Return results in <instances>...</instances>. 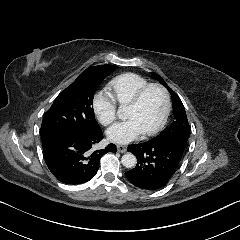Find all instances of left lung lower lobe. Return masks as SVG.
<instances>
[{"instance_id": "0a47b994", "label": "left lung lower lobe", "mask_w": 240, "mask_h": 240, "mask_svg": "<svg viewBox=\"0 0 240 240\" xmlns=\"http://www.w3.org/2000/svg\"><path fill=\"white\" fill-rule=\"evenodd\" d=\"M185 147L176 141H148L129 145L127 150L137 157V166L125 173L127 179L144 190L164 187L176 171Z\"/></svg>"}]
</instances>
